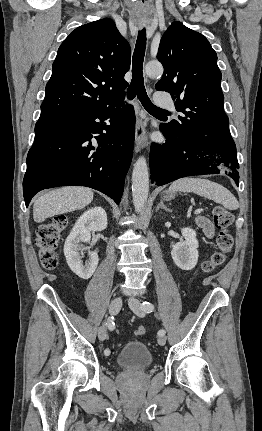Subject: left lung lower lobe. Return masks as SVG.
Wrapping results in <instances>:
<instances>
[{
  "label": "left lung lower lobe",
  "instance_id": "0a47b994",
  "mask_svg": "<svg viewBox=\"0 0 262 431\" xmlns=\"http://www.w3.org/2000/svg\"><path fill=\"white\" fill-rule=\"evenodd\" d=\"M160 130L166 142L152 143L149 158L151 180L158 186L183 177L219 173L229 175L238 185L239 164L232 138L228 136L221 147L215 148L175 138L163 124Z\"/></svg>",
  "mask_w": 262,
  "mask_h": 431
}]
</instances>
